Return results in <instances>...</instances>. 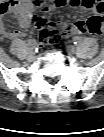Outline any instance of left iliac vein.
<instances>
[{
    "label": "left iliac vein",
    "instance_id": "4c4485c4",
    "mask_svg": "<svg viewBox=\"0 0 104 137\" xmlns=\"http://www.w3.org/2000/svg\"><path fill=\"white\" fill-rule=\"evenodd\" d=\"M66 51L69 54H74L75 53V48L73 46L69 45V46L66 47Z\"/></svg>",
    "mask_w": 104,
    "mask_h": 137
}]
</instances>
